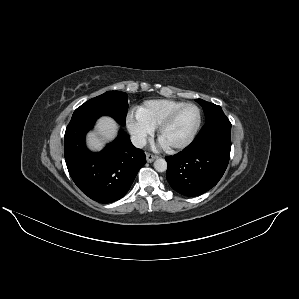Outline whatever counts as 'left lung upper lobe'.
Instances as JSON below:
<instances>
[{
	"label": "left lung upper lobe",
	"instance_id": "5c2ea615",
	"mask_svg": "<svg viewBox=\"0 0 299 299\" xmlns=\"http://www.w3.org/2000/svg\"><path fill=\"white\" fill-rule=\"evenodd\" d=\"M196 101L204 109V114L206 116V123L216 120V119H226V115L222 111L221 107L213 103L204 101L202 99H196Z\"/></svg>",
	"mask_w": 299,
	"mask_h": 299
}]
</instances>
